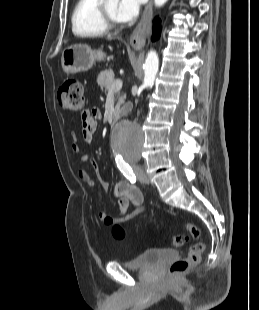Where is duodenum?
Here are the masks:
<instances>
[{"mask_svg": "<svg viewBox=\"0 0 259 310\" xmlns=\"http://www.w3.org/2000/svg\"><path fill=\"white\" fill-rule=\"evenodd\" d=\"M119 117H120V113L118 111H114L113 117H112V129H114L115 124L117 120L119 119Z\"/></svg>", "mask_w": 259, "mask_h": 310, "instance_id": "duodenum-1", "label": "duodenum"}]
</instances>
